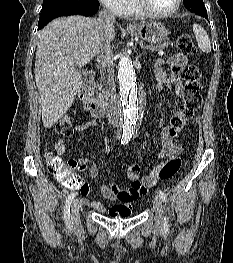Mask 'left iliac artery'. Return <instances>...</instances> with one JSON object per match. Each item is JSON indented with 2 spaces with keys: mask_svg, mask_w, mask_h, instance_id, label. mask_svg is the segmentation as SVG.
<instances>
[{
  "mask_svg": "<svg viewBox=\"0 0 233 263\" xmlns=\"http://www.w3.org/2000/svg\"><path fill=\"white\" fill-rule=\"evenodd\" d=\"M158 195L160 196V198L164 201V202H166V194L163 192V191H161V190H159L158 191ZM168 227H169V224H168V217H165L164 218V228L166 229V230H168Z\"/></svg>",
  "mask_w": 233,
  "mask_h": 263,
  "instance_id": "44dca946",
  "label": "left iliac artery"
}]
</instances>
